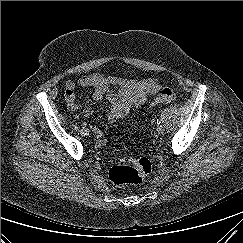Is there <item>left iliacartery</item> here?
<instances>
[{
	"label": "left iliac artery",
	"mask_w": 243,
	"mask_h": 243,
	"mask_svg": "<svg viewBox=\"0 0 243 243\" xmlns=\"http://www.w3.org/2000/svg\"><path fill=\"white\" fill-rule=\"evenodd\" d=\"M161 122H160V120H157V124L159 125Z\"/></svg>",
	"instance_id": "1"
}]
</instances>
